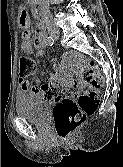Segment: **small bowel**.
<instances>
[{
  "label": "small bowel",
  "mask_w": 123,
  "mask_h": 167,
  "mask_svg": "<svg viewBox=\"0 0 123 167\" xmlns=\"http://www.w3.org/2000/svg\"><path fill=\"white\" fill-rule=\"evenodd\" d=\"M18 14H25V10H18ZM20 23L24 28L21 44L22 51L26 54H32L35 47L38 54L42 55L45 48V36L42 31L37 29L33 40V35L29 29V24L25 16L21 17ZM56 87H59L66 96H70L66 93L67 90L74 89L76 91H82L85 88V83L81 80H72L67 82L56 64L53 67V72L47 76L46 82L42 85L33 84L27 80L19 81V89L21 93L29 97L40 99H60V96H57L54 92Z\"/></svg>",
  "instance_id": "obj_1"
}]
</instances>
